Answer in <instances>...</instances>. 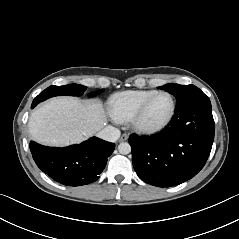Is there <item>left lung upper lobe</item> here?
I'll return each mask as SVG.
<instances>
[{
	"label": "left lung upper lobe",
	"mask_w": 239,
	"mask_h": 239,
	"mask_svg": "<svg viewBox=\"0 0 239 239\" xmlns=\"http://www.w3.org/2000/svg\"><path fill=\"white\" fill-rule=\"evenodd\" d=\"M176 97V108L180 109L192 102L208 98L199 88L194 85L167 84L159 87Z\"/></svg>",
	"instance_id": "5c2ea615"
}]
</instances>
